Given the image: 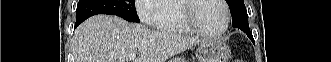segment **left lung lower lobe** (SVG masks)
<instances>
[{
	"mask_svg": "<svg viewBox=\"0 0 331 62\" xmlns=\"http://www.w3.org/2000/svg\"><path fill=\"white\" fill-rule=\"evenodd\" d=\"M232 26L235 27V28H238L240 30H242L243 32H245L247 34V36L253 40V36L250 32H246L245 29H242L241 26L239 24H234L232 23Z\"/></svg>",
	"mask_w": 331,
	"mask_h": 62,
	"instance_id": "left-lung-lower-lobe-1",
	"label": "left lung lower lobe"
}]
</instances>
